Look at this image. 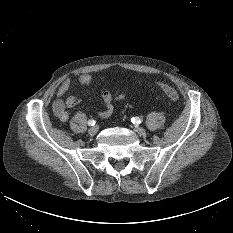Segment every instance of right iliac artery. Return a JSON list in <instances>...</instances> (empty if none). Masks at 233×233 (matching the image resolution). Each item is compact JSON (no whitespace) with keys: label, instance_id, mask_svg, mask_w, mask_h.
Here are the masks:
<instances>
[{"label":"right iliac artery","instance_id":"1","mask_svg":"<svg viewBox=\"0 0 233 233\" xmlns=\"http://www.w3.org/2000/svg\"><path fill=\"white\" fill-rule=\"evenodd\" d=\"M88 125H89V126H94V125H95V120L90 119V120L88 121Z\"/></svg>","mask_w":233,"mask_h":233}]
</instances>
